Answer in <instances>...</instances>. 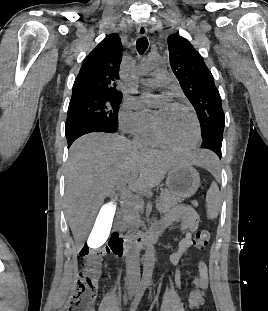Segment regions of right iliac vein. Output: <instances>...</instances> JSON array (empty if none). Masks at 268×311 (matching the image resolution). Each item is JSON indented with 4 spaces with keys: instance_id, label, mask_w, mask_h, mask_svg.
Wrapping results in <instances>:
<instances>
[{
    "instance_id": "obj_1",
    "label": "right iliac vein",
    "mask_w": 268,
    "mask_h": 311,
    "mask_svg": "<svg viewBox=\"0 0 268 311\" xmlns=\"http://www.w3.org/2000/svg\"><path fill=\"white\" fill-rule=\"evenodd\" d=\"M135 293H136L135 288H131L128 293L129 298L131 299L135 295Z\"/></svg>"
}]
</instances>
